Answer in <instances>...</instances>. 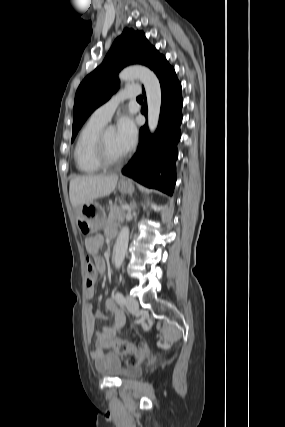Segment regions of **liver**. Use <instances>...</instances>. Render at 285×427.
<instances>
[{
	"label": "liver",
	"mask_w": 285,
	"mask_h": 427,
	"mask_svg": "<svg viewBox=\"0 0 285 427\" xmlns=\"http://www.w3.org/2000/svg\"><path fill=\"white\" fill-rule=\"evenodd\" d=\"M118 181V175H87L71 179L69 196L72 207L79 210L83 205L93 203L100 197L111 194Z\"/></svg>",
	"instance_id": "1"
}]
</instances>
